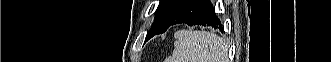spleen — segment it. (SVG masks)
Returning a JSON list of instances; mask_svg holds the SVG:
<instances>
[{"instance_id":"3e777b00","label":"spleen","mask_w":331,"mask_h":62,"mask_svg":"<svg viewBox=\"0 0 331 62\" xmlns=\"http://www.w3.org/2000/svg\"><path fill=\"white\" fill-rule=\"evenodd\" d=\"M174 37L175 49L167 62H225L228 48L216 34L183 30Z\"/></svg>"}]
</instances>
